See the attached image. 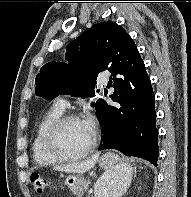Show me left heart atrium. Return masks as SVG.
<instances>
[{"instance_id": "left-heart-atrium-1", "label": "left heart atrium", "mask_w": 191, "mask_h": 197, "mask_svg": "<svg viewBox=\"0 0 191 197\" xmlns=\"http://www.w3.org/2000/svg\"><path fill=\"white\" fill-rule=\"evenodd\" d=\"M82 122L86 130L93 136L96 129L95 119L92 116H88Z\"/></svg>"}]
</instances>
